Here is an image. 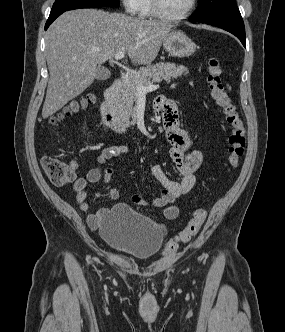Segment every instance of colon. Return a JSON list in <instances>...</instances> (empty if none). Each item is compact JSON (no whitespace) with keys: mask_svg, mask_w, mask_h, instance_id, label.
I'll return each mask as SVG.
<instances>
[{"mask_svg":"<svg viewBox=\"0 0 285 332\" xmlns=\"http://www.w3.org/2000/svg\"><path fill=\"white\" fill-rule=\"evenodd\" d=\"M222 72L223 67L221 62L217 58H210L207 62L206 80L211 98L230 126L227 161L228 164L234 168L238 166L245 152L246 131L241 114L222 81ZM92 102V95H88L77 101H72L57 116L50 118L49 122L55 124L59 120L72 115ZM41 165L49 180L56 186H66L72 183L76 178V171L73 169L71 163L64 162L56 157L44 156L41 159ZM206 217L207 211L205 208L200 207L195 209L186 226L166 243V253H175L179 243L188 242L195 237L203 226Z\"/></svg>","mask_w":285,"mask_h":332,"instance_id":"colon-1","label":"colon"}]
</instances>
